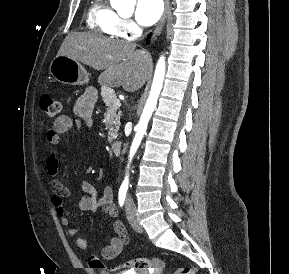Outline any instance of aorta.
Segmentation results:
<instances>
[{"mask_svg":"<svg viewBox=\"0 0 289 274\" xmlns=\"http://www.w3.org/2000/svg\"><path fill=\"white\" fill-rule=\"evenodd\" d=\"M131 1L133 0H110L111 5L116 9H122L131 5ZM165 58L161 56L156 65L154 78L150 90L149 97L145 104L144 110L140 117V120L136 126V134L133 139L131 148H130V160L133 155L136 153L144 134L146 133L148 122L152 116L156 108V104L163 86L164 76H165ZM125 183H127V178L125 179Z\"/></svg>","mask_w":289,"mask_h":274,"instance_id":"aorta-1","label":"aorta"}]
</instances>
